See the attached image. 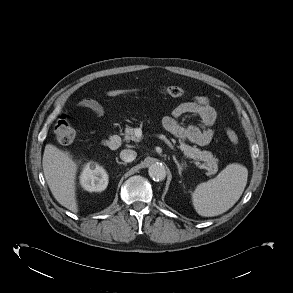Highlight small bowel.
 <instances>
[{
  "label": "small bowel",
  "instance_id": "obj_1",
  "mask_svg": "<svg viewBox=\"0 0 293 293\" xmlns=\"http://www.w3.org/2000/svg\"><path fill=\"white\" fill-rule=\"evenodd\" d=\"M78 106L92 111L96 117L104 116L103 106L91 98L81 99ZM192 115L200 119L201 125L190 123L183 126L180 119ZM217 120L216 110L210 104L207 97L197 96L190 101L179 104L170 116L163 119V127L180 140H184L199 146H205L211 142L215 130L213 128Z\"/></svg>",
  "mask_w": 293,
  "mask_h": 293
}]
</instances>
